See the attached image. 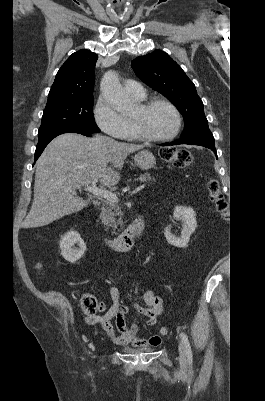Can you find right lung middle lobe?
<instances>
[{
	"instance_id": "dd1d6c3e",
	"label": "right lung middle lobe",
	"mask_w": 265,
	"mask_h": 401,
	"mask_svg": "<svg viewBox=\"0 0 265 401\" xmlns=\"http://www.w3.org/2000/svg\"><path fill=\"white\" fill-rule=\"evenodd\" d=\"M94 97L82 96L46 105L42 116L38 138L56 130H67L84 133H98L92 112Z\"/></svg>"
}]
</instances>
